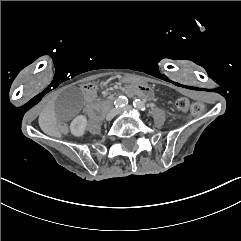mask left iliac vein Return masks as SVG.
<instances>
[{"instance_id":"4c4485c4","label":"left iliac vein","mask_w":241,"mask_h":241,"mask_svg":"<svg viewBox=\"0 0 241 241\" xmlns=\"http://www.w3.org/2000/svg\"><path fill=\"white\" fill-rule=\"evenodd\" d=\"M133 107L131 105H128L126 107H124L123 109L120 110V113L122 112H127V111H132Z\"/></svg>"}]
</instances>
